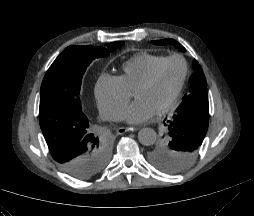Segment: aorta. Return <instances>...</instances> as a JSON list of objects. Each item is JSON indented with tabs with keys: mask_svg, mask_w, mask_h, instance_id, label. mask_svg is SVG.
<instances>
[{
	"mask_svg": "<svg viewBox=\"0 0 254 216\" xmlns=\"http://www.w3.org/2000/svg\"><path fill=\"white\" fill-rule=\"evenodd\" d=\"M156 132L152 128H142L138 132L139 142L144 146H151L156 141Z\"/></svg>",
	"mask_w": 254,
	"mask_h": 216,
	"instance_id": "1",
	"label": "aorta"
}]
</instances>
